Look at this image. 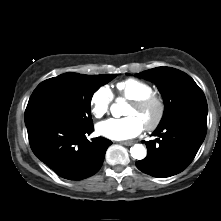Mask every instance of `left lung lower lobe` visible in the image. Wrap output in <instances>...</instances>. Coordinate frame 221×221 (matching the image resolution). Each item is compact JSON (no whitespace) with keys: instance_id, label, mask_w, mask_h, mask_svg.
<instances>
[{"instance_id":"0a47b994","label":"left lung lower lobe","mask_w":221,"mask_h":221,"mask_svg":"<svg viewBox=\"0 0 221 221\" xmlns=\"http://www.w3.org/2000/svg\"><path fill=\"white\" fill-rule=\"evenodd\" d=\"M207 112V108L191 109L159 125L152 134L159 138L145 142L147 157L136 162L137 168L158 178L186 169L206 136Z\"/></svg>"}]
</instances>
